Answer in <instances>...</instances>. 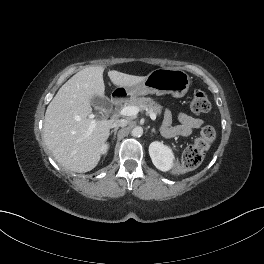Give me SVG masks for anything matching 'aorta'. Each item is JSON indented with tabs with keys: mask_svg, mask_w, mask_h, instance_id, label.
Masks as SVG:
<instances>
[{
	"mask_svg": "<svg viewBox=\"0 0 264 264\" xmlns=\"http://www.w3.org/2000/svg\"><path fill=\"white\" fill-rule=\"evenodd\" d=\"M131 134L134 137H140L143 134V128L140 126H137V127L132 129Z\"/></svg>",
	"mask_w": 264,
	"mask_h": 264,
	"instance_id": "1",
	"label": "aorta"
}]
</instances>
